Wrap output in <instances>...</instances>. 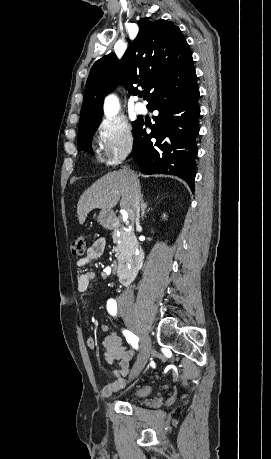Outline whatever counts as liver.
Masks as SVG:
<instances>
[{
  "instance_id": "6515ba94",
  "label": "liver",
  "mask_w": 271,
  "mask_h": 459,
  "mask_svg": "<svg viewBox=\"0 0 271 459\" xmlns=\"http://www.w3.org/2000/svg\"><path fill=\"white\" fill-rule=\"evenodd\" d=\"M134 184H139L138 176L132 174L130 170H119V172H109L97 182H94L84 194H82L78 206L77 214L79 224H84L87 214L100 208V210H108L118 204L120 196V208L123 210H131L133 206ZM140 190V184H139Z\"/></svg>"
}]
</instances>
